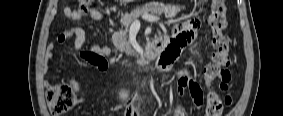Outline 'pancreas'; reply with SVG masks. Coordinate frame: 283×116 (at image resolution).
<instances>
[{
  "instance_id": "pancreas-1",
  "label": "pancreas",
  "mask_w": 283,
  "mask_h": 116,
  "mask_svg": "<svg viewBox=\"0 0 283 116\" xmlns=\"http://www.w3.org/2000/svg\"><path fill=\"white\" fill-rule=\"evenodd\" d=\"M181 7L163 5L158 2H151L142 7L134 9L130 14H126L121 23L125 29H121L118 32H115L112 36V41L117 49L120 51H131V45L128 41V27L133 22L134 19L140 17L142 14H151L161 16L165 15L168 19H173L180 12Z\"/></svg>"
}]
</instances>
